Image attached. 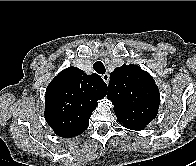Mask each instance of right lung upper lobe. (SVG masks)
<instances>
[{
    "instance_id": "obj_1",
    "label": "right lung upper lobe",
    "mask_w": 196,
    "mask_h": 166,
    "mask_svg": "<svg viewBox=\"0 0 196 166\" xmlns=\"http://www.w3.org/2000/svg\"><path fill=\"white\" fill-rule=\"evenodd\" d=\"M106 94L107 85L99 75L88 76L76 67L64 69L46 89L45 119L58 136H78L88 128L97 101Z\"/></svg>"
}]
</instances>
